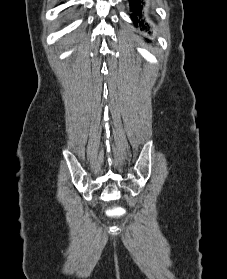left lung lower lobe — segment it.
<instances>
[{"instance_id": "1", "label": "left lung lower lobe", "mask_w": 227, "mask_h": 279, "mask_svg": "<svg viewBox=\"0 0 227 279\" xmlns=\"http://www.w3.org/2000/svg\"><path fill=\"white\" fill-rule=\"evenodd\" d=\"M141 0H130V10L133 11V14L131 15V18L133 19L135 26H138V22L140 23V20L138 19V16H142V5ZM142 24H144L142 22ZM144 28V25H143Z\"/></svg>"}]
</instances>
